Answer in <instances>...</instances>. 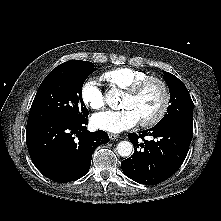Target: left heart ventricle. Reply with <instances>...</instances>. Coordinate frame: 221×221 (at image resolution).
Wrapping results in <instances>:
<instances>
[{
	"label": "left heart ventricle",
	"mask_w": 221,
	"mask_h": 221,
	"mask_svg": "<svg viewBox=\"0 0 221 221\" xmlns=\"http://www.w3.org/2000/svg\"><path fill=\"white\" fill-rule=\"evenodd\" d=\"M163 102V91L159 84H149L137 97L125 95L122 108L132 109L139 120L153 117L160 109Z\"/></svg>",
	"instance_id": "1"
}]
</instances>
